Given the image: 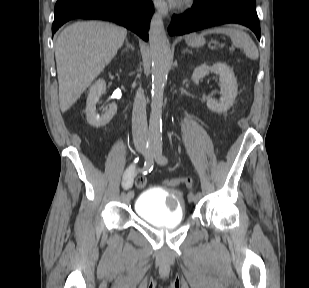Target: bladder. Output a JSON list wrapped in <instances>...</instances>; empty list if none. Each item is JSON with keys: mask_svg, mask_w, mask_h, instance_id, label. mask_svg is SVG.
I'll list each match as a JSON object with an SVG mask.
<instances>
[{"mask_svg": "<svg viewBox=\"0 0 309 288\" xmlns=\"http://www.w3.org/2000/svg\"><path fill=\"white\" fill-rule=\"evenodd\" d=\"M134 209L143 221L160 228H174L184 219L183 197L174 190L147 188L136 199Z\"/></svg>", "mask_w": 309, "mask_h": 288, "instance_id": "bladder-1", "label": "bladder"}]
</instances>
